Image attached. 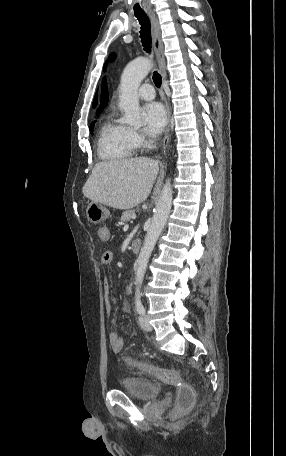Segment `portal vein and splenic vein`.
I'll return each mask as SVG.
<instances>
[{
	"instance_id": "1",
	"label": "portal vein and splenic vein",
	"mask_w": 286,
	"mask_h": 456,
	"mask_svg": "<svg viewBox=\"0 0 286 456\" xmlns=\"http://www.w3.org/2000/svg\"><path fill=\"white\" fill-rule=\"evenodd\" d=\"M135 218H136V215L134 214V215L132 216V219H135Z\"/></svg>"
}]
</instances>
